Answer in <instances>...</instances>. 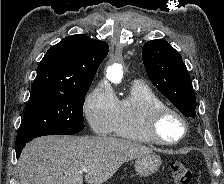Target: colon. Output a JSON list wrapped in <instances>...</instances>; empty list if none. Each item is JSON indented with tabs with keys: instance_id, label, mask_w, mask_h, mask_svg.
<instances>
[{
	"instance_id": "5ec220e1",
	"label": "colon",
	"mask_w": 224,
	"mask_h": 184,
	"mask_svg": "<svg viewBox=\"0 0 224 184\" xmlns=\"http://www.w3.org/2000/svg\"><path fill=\"white\" fill-rule=\"evenodd\" d=\"M171 174L176 184H191L192 171L189 166L180 161L170 164Z\"/></svg>"
}]
</instances>
